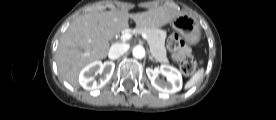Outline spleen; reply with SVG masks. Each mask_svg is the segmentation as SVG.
Segmentation results:
<instances>
[{
    "label": "spleen",
    "mask_w": 276,
    "mask_h": 120,
    "mask_svg": "<svg viewBox=\"0 0 276 120\" xmlns=\"http://www.w3.org/2000/svg\"><path fill=\"white\" fill-rule=\"evenodd\" d=\"M204 69H199L191 78L190 80L185 84V89H189L196 85L201 78L203 77Z\"/></svg>",
    "instance_id": "spleen-1"
}]
</instances>
